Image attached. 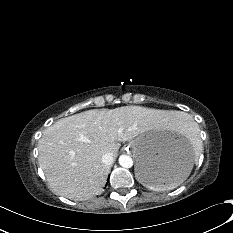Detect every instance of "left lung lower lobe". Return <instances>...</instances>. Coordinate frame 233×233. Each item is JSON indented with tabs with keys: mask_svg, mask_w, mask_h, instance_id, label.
<instances>
[{
	"mask_svg": "<svg viewBox=\"0 0 233 233\" xmlns=\"http://www.w3.org/2000/svg\"><path fill=\"white\" fill-rule=\"evenodd\" d=\"M175 172L167 169L156 166H144L140 171V178L145 183L165 185L173 179Z\"/></svg>",
	"mask_w": 233,
	"mask_h": 233,
	"instance_id": "obj_1",
	"label": "left lung lower lobe"
}]
</instances>
